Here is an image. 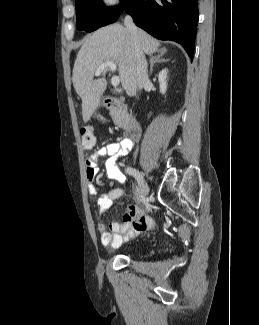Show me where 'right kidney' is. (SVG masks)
<instances>
[{
  "label": "right kidney",
  "instance_id": "ca27d5eb",
  "mask_svg": "<svg viewBox=\"0 0 259 325\" xmlns=\"http://www.w3.org/2000/svg\"><path fill=\"white\" fill-rule=\"evenodd\" d=\"M167 73H168V70L163 69L158 74V81H159V84H160V92L162 94H165L166 90H167Z\"/></svg>",
  "mask_w": 259,
  "mask_h": 325
}]
</instances>
